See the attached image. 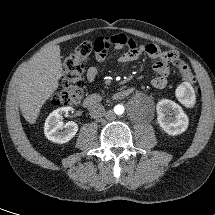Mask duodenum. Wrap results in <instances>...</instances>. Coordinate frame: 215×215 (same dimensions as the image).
Segmentation results:
<instances>
[{"label": "duodenum", "instance_id": "obj_1", "mask_svg": "<svg viewBox=\"0 0 215 215\" xmlns=\"http://www.w3.org/2000/svg\"><path fill=\"white\" fill-rule=\"evenodd\" d=\"M132 93V88H125L114 95L115 100H123ZM102 101V96L99 94H90L83 100V106L86 108L93 107Z\"/></svg>", "mask_w": 215, "mask_h": 215}]
</instances>
